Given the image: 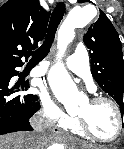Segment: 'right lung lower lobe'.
<instances>
[{
  "mask_svg": "<svg viewBox=\"0 0 124 149\" xmlns=\"http://www.w3.org/2000/svg\"><path fill=\"white\" fill-rule=\"evenodd\" d=\"M16 74L14 68H0V135L33 130L30 118L40 109L36 95H18L19 85L10 84Z\"/></svg>",
  "mask_w": 124,
  "mask_h": 149,
  "instance_id": "98d812e1",
  "label": "right lung lower lobe"
}]
</instances>
